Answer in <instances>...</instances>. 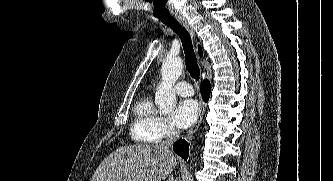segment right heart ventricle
Returning a JSON list of instances; mask_svg holds the SVG:
<instances>
[{"instance_id": "obj_1", "label": "right heart ventricle", "mask_w": 333, "mask_h": 181, "mask_svg": "<svg viewBox=\"0 0 333 181\" xmlns=\"http://www.w3.org/2000/svg\"><path fill=\"white\" fill-rule=\"evenodd\" d=\"M132 138L141 143H157L156 125L159 116L149 96L141 98L133 110Z\"/></svg>"}]
</instances>
